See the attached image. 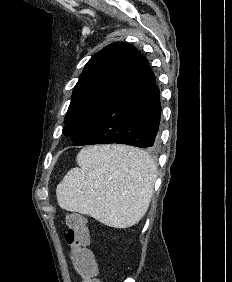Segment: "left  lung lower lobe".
Instances as JSON below:
<instances>
[{"mask_svg":"<svg viewBox=\"0 0 232 282\" xmlns=\"http://www.w3.org/2000/svg\"><path fill=\"white\" fill-rule=\"evenodd\" d=\"M160 92L145 57L103 105L90 138L79 145L119 143L140 148L157 145Z\"/></svg>","mask_w":232,"mask_h":282,"instance_id":"1","label":"left lung lower lobe"}]
</instances>
